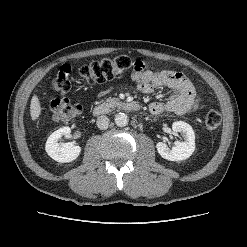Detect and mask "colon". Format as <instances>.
<instances>
[{
  "label": "colon",
  "instance_id": "1",
  "mask_svg": "<svg viewBox=\"0 0 247 247\" xmlns=\"http://www.w3.org/2000/svg\"><path fill=\"white\" fill-rule=\"evenodd\" d=\"M129 69L150 71L143 61L121 55L114 58H101L81 67L77 77L88 85L103 84L115 78L123 77ZM72 68L63 65L53 78L51 86L61 97L50 101L52 116L58 121H69L76 117L83 109L80 103H72L64 97L72 88L74 82ZM205 125L208 129H216L221 124V114L216 110H209L205 115Z\"/></svg>",
  "mask_w": 247,
  "mask_h": 247
}]
</instances>
